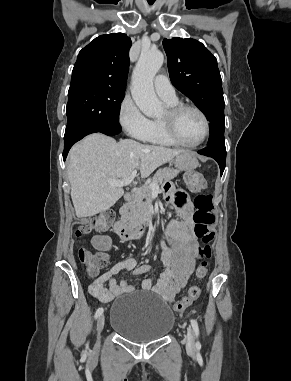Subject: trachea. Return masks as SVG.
<instances>
[{
  "label": "trachea",
  "mask_w": 291,
  "mask_h": 381,
  "mask_svg": "<svg viewBox=\"0 0 291 381\" xmlns=\"http://www.w3.org/2000/svg\"><path fill=\"white\" fill-rule=\"evenodd\" d=\"M154 1H155V0H148V3H149L150 5H152V4L154 3Z\"/></svg>",
  "instance_id": "trachea-1"
}]
</instances>
